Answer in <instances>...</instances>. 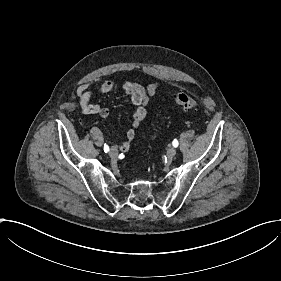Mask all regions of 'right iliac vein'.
I'll return each mask as SVG.
<instances>
[{"label": "right iliac vein", "mask_w": 281, "mask_h": 281, "mask_svg": "<svg viewBox=\"0 0 281 281\" xmlns=\"http://www.w3.org/2000/svg\"><path fill=\"white\" fill-rule=\"evenodd\" d=\"M111 148H112V151H111V153H110L111 156L114 157V158L117 157L118 154H119L118 151H117L116 148L113 147V146H112Z\"/></svg>", "instance_id": "63e3f726"}]
</instances>
